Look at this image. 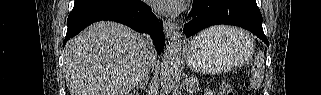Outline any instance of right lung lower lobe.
Wrapping results in <instances>:
<instances>
[{"instance_id": "1", "label": "right lung lower lobe", "mask_w": 321, "mask_h": 95, "mask_svg": "<svg viewBox=\"0 0 321 95\" xmlns=\"http://www.w3.org/2000/svg\"><path fill=\"white\" fill-rule=\"evenodd\" d=\"M101 20L119 22L138 32H147L151 35L158 54L163 50L165 44L163 25L151 12L150 7L139 0L74 7L67 19L68 29L63 46L81 30Z\"/></svg>"}]
</instances>
